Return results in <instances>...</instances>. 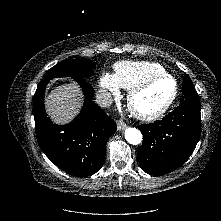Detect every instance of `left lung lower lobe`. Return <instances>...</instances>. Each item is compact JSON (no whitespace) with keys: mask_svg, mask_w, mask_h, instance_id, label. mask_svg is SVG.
I'll use <instances>...</instances> for the list:
<instances>
[{"mask_svg":"<svg viewBox=\"0 0 221 221\" xmlns=\"http://www.w3.org/2000/svg\"><path fill=\"white\" fill-rule=\"evenodd\" d=\"M200 111V106L179 105L161 121L140 125L138 161L146 173L167 174L188 159L200 137Z\"/></svg>","mask_w":221,"mask_h":221,"instance_id":"left-lung-lower-lobe-1","label":"left lung lower lobe"}]
</instances>
